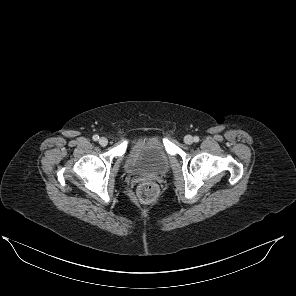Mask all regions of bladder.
<instances>
[{
    "instance_id": "1",
    "label": "bladder",
    "mask_w": 296,
    "mask_h": 296,
    "mask_svg": "<svg viewBox=\"0 0 296 296\" xmlns=\"http://www.w3.org/2000/svg\"><path fill=\"white\" fill-rule=\"evenodd\" d=\"M125 168L132 175L164 174L169 159L160 139L151 136L136 141L127 153Z\"/></svg>"
}]
</instances>
